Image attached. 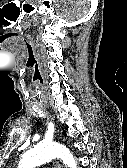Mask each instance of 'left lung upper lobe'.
Instances as JSON below:
<instances>
[{
	"mask_svg": "<svg viewBox=\"0 0 127 168\" xmlns=\"http://www.w3.org/2000/svg\"><path fill=\"white\" fill-rule=\"evenodd\" d=\"M63 133H64V134H65V136H66V132L64 131Z\"/></svg>",
	"mask_w": 127,
	"mask_h": 168,
	"instance_id": "obj_1",
	"label": "left lung upper lobe"
}]
</instances>
